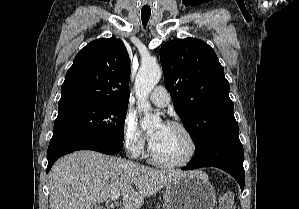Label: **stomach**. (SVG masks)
Here are the masks:
<instances>
[{
  "label": "stomach",
  "instance_id": "0dacf381",
  "mask_svg": "<svg viewBox=\"0 0 299 209\" xmlns=\"http://www.w3.org/2000/svg\"><path fill=\"white\" fill-rule=\"evenodd\" d=\"M166 209H214L216 194L202 171H193L169 184L164 191Z\"/></svg>",
  "mask_w": 299,
  "mask_h": 209
}]
</instances>
